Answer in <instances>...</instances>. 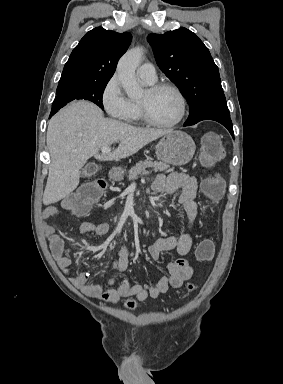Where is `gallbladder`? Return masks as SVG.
Masks as SVG:
<instances>
[{
	"label": "gallbladder",
	"instance_id": "bac80fb5",
	"mask_svg": "<svg viewBox=\"0 0 283 384\" xmlns=\"http://www.w3.org/2000/svg\"><path fill=\"white\" fill-rule=\"evenodd\" d=\"M98 169H99L98 165H89L87 167V170H88L87 175L89 177H95L97 175Z\"/></svg>",
	"mask_w": 283,
	"mask_h": 384
}]
</instances>
